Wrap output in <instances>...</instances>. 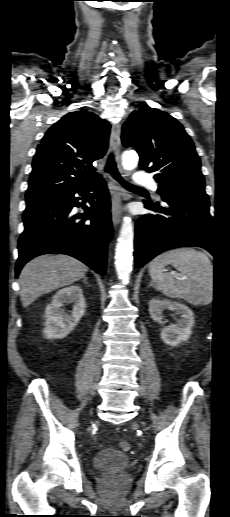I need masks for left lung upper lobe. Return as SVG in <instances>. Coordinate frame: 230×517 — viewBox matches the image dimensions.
<instances>
[{
    "mask_svg": "<svg viewBox=\"0 0 230 517\" xmlns=\"http://www.w3.org/2000/svg\"><path fill=\"white\" fill-rule=\"evenodd\" d=\"M122 143L134 146L140 156V168L155 172L158 193H205L200 158L183 126L159 109L135 110L122 128Z\"/></svg>",
    "mask_w": 230,
    "mask_h": 517,
    "instance_id": "1",
    "label": "left lung upper lobe"
}]
</instances>
